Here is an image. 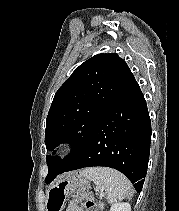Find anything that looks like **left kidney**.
<instances>
[{
  "instance_id": "1",
  "label": "left kidney",
  "mask_w": 179,
  "mask_h": 211,
  "mask_svg": "<svg viewBox=\"0 0 179 211\" xmlns=\"http://www.w3.org/2000/svg\"><path fill=\"white\" fill-rule=\"evenodd\" d=\"M110 211H131V206L129 203H116L111 206Z\"/></svg>"
}]
</instances>
